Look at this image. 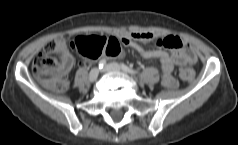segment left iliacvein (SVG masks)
I'll use <instances>...</instances> for the list:
<instances>
[{
  "instance_id": "1",
  "label": "left iliac vein",
  "mask_w": 238,
  "mask_h": 145,
  "mask_svg": "<svg viewBox=\"0 0 238 145\" xmlns=\"http://www.w3.org/2000/svg\"><path fill=\"white\" fill-rule=\"evenodd\" d=\"M121 66L117 63H110L107 64L104 68V71L106 72H121Z\"/></svg>"
}]
</instances>
